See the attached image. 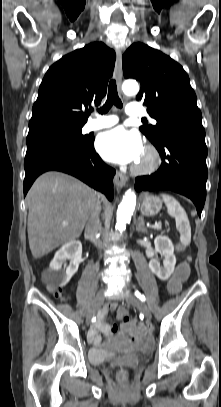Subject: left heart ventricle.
<instances>
[{
  "instance_id": "1",
  "label": "left heart ventricle",
  "mask_w": 221,
  "mask_h": 407,
  "mask_svg": "<svg viewBox=\"0 0 221 407\" xmlns=\"http://www.w3.org/2000/svg\"><path fill=\"white\" fill-rule=\"evenodd\" d=\"M147 160L146 156L144 155V153L142 154L141 158L139 159L138 163L142 164L145 163Z\"/></svg>"
}]
</instances>
